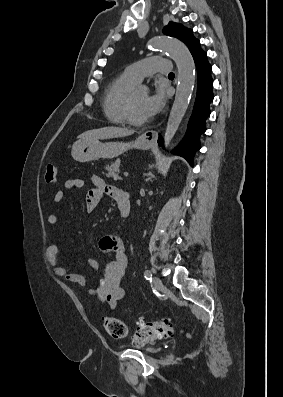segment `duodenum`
I'll return each instance as SVG.
<instances>
[{"label":"duodenum","mask_w":283,"mask_h":397,"mask_svg":"<svg viewBox=\"0 0 283 397\" xmlns=\"http://www.w3.org/2000/svg\"><path fill=\"white\" fill-rule=\"evenodd\" d=\"M119 209L123 217H127L131 210V205L128 196L124 197L119 203Z\"/></svg>","instance_id":"duodenum-1"}]
</instances>
